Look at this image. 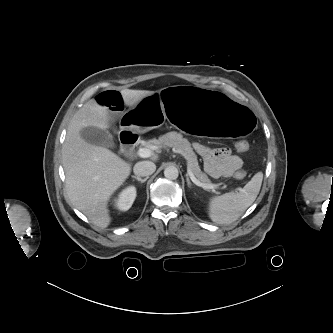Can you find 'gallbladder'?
Returning <instances> with one entry per match:
<instances>
[{"mask_svg":"<svg viewBox=\"0 0 333 333\" xmlns=\"http://www.w3.org/2000/svg\"><path fill=\"white\" fill-rule=\"evenodd\" d=\"M82 138L97 146L114 148L113 136L106 130H102L96 127H87L80 131Z\"/></svg>","mask_w":333,"mask_h":333,"instance_id":"gallbladder-1","label":"gallbladder"}]
</instances>
